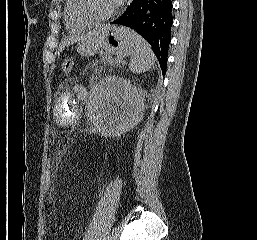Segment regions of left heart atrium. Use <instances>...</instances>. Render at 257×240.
<instances>
[{
  "label": "left heart atrium",
  "instance_id": "39dd6f15",
  "mask_svg": "<svg viewBox=\"0 0 257 240\" xmlns=\"http://www.w3.org/2000/svg\"><path fill=\"white\" fill-rule=\"evenodd\" d=\"M114 1H115V3H120L121 0H114Z\"/></svg>",
  "mask_w": 257,
  "mask_h": 240
}]
</instances>
